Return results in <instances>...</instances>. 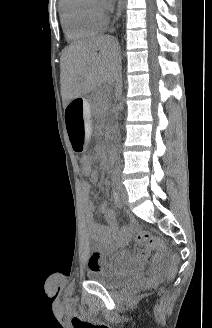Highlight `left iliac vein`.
<instances>
[{"mask_svg":"<svg viewBox=\"0 0 212 328\" xmlns=\"http://www.w3.org/2000/svg\"><path fill=\"white\" fill-rule=\"evenodd\" d=\"M121 198L123 203L128 204V194L124 186H121Z\"/></svg>","mask_w":212,"mask_h":328,"instance_id":"1","label":"left iliac vein"}]
</instances>
